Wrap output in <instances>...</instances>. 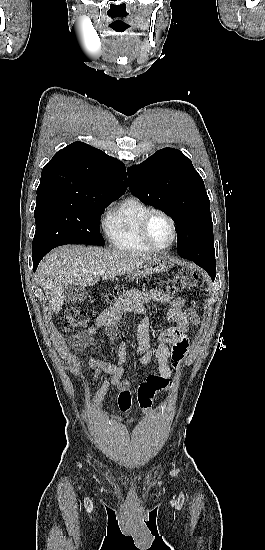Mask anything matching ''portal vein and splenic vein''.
I'll use <instances>...</instances> for the list:
<instances>
[{
	"instance_id": "18ae733b",
	"label": "portal vein and splenic vein",
	"mask_w": 265,
	"mask_h": 550,
	"mask_svg": "<svg viewBox=\"0 0 265 550\" xmlns=\"http://www.w3.org/2000/svg\"><path fill=\"white\" fill-rule=\"evenodd\" d=\"M99 274H100V275H103V274H104V272H103V271H102V272H99Z\"/></svg>"
}]
</instances>
